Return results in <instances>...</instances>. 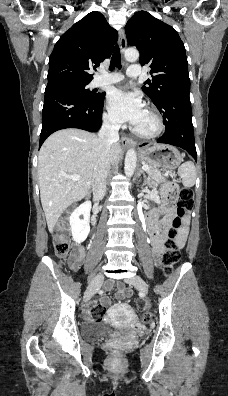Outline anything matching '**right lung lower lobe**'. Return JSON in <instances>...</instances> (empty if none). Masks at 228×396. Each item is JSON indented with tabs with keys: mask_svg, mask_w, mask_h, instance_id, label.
I'll return each mask as SVG.
<instances>
[{
	"mask_svg": "<svg viewBox=\"0 0 228 396\" xmlns=\"http://www.w3.org/2000/svg\"><path fill=\"white\" fill-rule=\"evenodd\" d=\"M101 94V97L88 101L68 90H46L39 145L53 132L65 128L98 131L102 124L105 97V93Z\"/></svg>",
	"mask_w": 228,
	"mask_h": 396,
	"instance_id": "1",
	"label": "right lung lower lobe"
}]
</instances>
